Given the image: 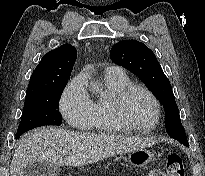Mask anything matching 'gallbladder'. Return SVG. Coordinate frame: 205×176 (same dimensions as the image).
<instances>
[{"instance_id":"obj_1","label":"gallbladder","mask_w":205,"mask_h":176,"mask_svg":"<svg viewBox=\"0 0 205 176\" xmlns=\"http://www.w3.org/2000/svg\"><path fill=\"white\" fill-rule=\"evenodd\" d=\"M24 176H60V168L46 161L32 162L24 169Z\"/></svg>"}]
</instances>
